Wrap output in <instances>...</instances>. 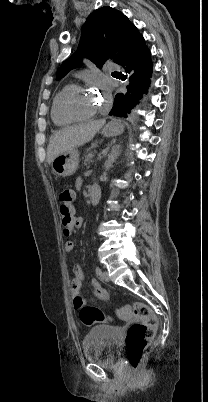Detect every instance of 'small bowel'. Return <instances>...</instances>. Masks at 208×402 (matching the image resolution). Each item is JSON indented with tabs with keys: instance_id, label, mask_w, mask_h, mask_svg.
<instances>
[{
	"instance_id": "c3829d8e",
	"label": "small bowel",
	"mask_w": 208,
	"mask_h": 402,
	"mask_svg": "<svg viewBox=\"0 0 208 402\" xmlns=\"http://www.w3.org/2000/svg\"><path fill=\"white\" fill-rule=\"evenodd\" d=\"M82 184V181L79 180L77 183V187L79 188ZM74 227L75 228H80L82 226V223L80 221H75L74 222ZM74 249V243L73 242H68L66 244V247L63 249V252L65 254H68L70 251H72ZM83 274L80 270V268L78 266H73L72 267V280H71V285H72V296L74 298V305L76 307H80L82 305H84L86 303L85 299H82L79 296L81 287H82V282H83ZM91 288L94 294V297L97 301H104L106 300L107 296H108V292L105 288L102 287V285L100 284V282L96 279H93L91 281ZM126 313L123 311L120 313L121 316L125 315Z\"/></svg>"
}]
</instances>
